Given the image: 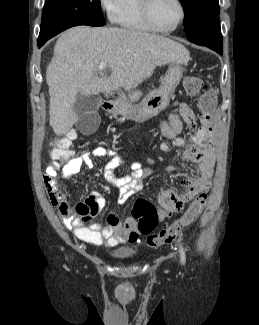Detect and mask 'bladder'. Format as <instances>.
Returning <instances> with one entry per match:
<instances>
[{"instance_id":"obj_1","label":"bladder","mask_w":259,"mask_h":325,"mask_svg":"<svg viewBox=\"0 0 259 325\" xmlns=\"http://www.w3.org/2000/svg\"><path fill=\"white\" fill-rule=\"evenodd\" d=\"M136 251L134 248L129 246L118 247L111 251V256L115 259L123 260L132 258Z\"/></svg>"}]
</instances>
